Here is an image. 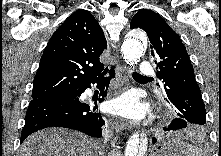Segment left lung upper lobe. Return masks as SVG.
I'll use <instances>...</instances> for the list:
<instances>
[{
	"instance_id": "5c2ea615",
	"label": "left lung upper lobe",
	"mask_w": 221,
	"mask_h": 156,
	"mask_svg": "<svg viewBox=\"0 0 221 156\" xmlns=\"http://www.w3.org/2000/svg\"><path fill=\"white\" fill-rule=\"evenodd\" d=\"M130 28L143 29L151 42V54L159 60L157 76L164 83V95L178 118L204 125L205 105L194 76L188 53L180 37L157 13L141 9Z\"/></svg>"
}]
</instances>
